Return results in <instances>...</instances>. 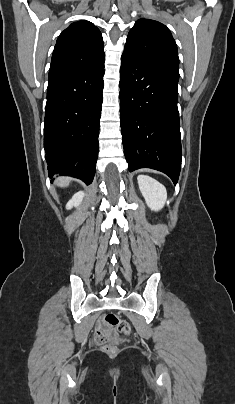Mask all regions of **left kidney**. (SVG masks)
<instances>
[{"label":"left kidney","instance_id":"left-kidney-1","mask_svg":"<svg viewBox=\"0 0 235 404\" xmlns=\"http://www.w3.org/2000/svg\"><path fill=\"white\" fill-rule=\"evenodd\" d=\"M137 180L148 207L153 211L162 209L167 199L165 187L155 179L145 175H139Z\"/></svg>","mask_w":235,"mask_h":404}]
</instances>
